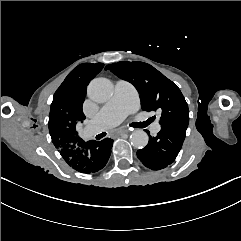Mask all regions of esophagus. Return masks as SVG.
<instances>
[{"label":"esophagus","mask_w":241,"mask_h":241,"mask_svg":"<svg viewBox=\"0 0 241 241\" xmlns=\"http://www.w3.org/2000/svg\"><path fill=\"white\" fill-rule=\"evenodd\" d=\"M128 132H129V130H128L127 128H122V129L116 131V132L113 134V136H114V135H117V134L128 133Z\"/></svg>","instance_id":"obj_1"}]
</instances>
